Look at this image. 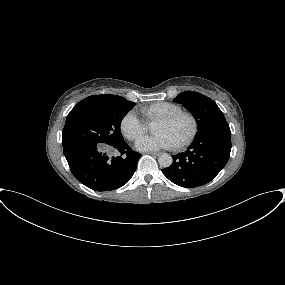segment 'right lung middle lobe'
<instances>
[{
  "instance_id": "right-lung-middle-lobe-1",
  "label": "right lung middle lobe",
  "mask_w": 285,
  "mask_h": 285,
  "mask_svg": "<svg viewBox=\"0 0 285 285\" xmlns=\"http://www.w3.org/2000/svg\"><path fill=\"white\" fill-rule=\"evenodd\" d=\"M134 105L125 98L75 105L67 116L62 144L113 145L122 142L120 124Z\"/></svg>"
}]
</instances>
